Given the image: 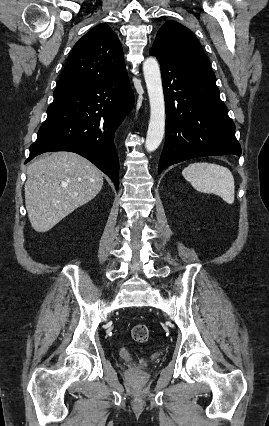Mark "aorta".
<instances>
[{
    "label": "aorta",
    "instance_id": "obj_1",
    "mask_svg": "<svg viewBox=\"0 0 269 426\" xmlns=\"http://www.w3.org/2000/svg\"><path fill=\"white\" fill-rule=\"evenodd\" d=\"M143 74L150 103V120L145 148L148 152H153L161 144L165 132V101L161 72L158 61L154 57H148L144 61Z\"/></svg>",
    "mask_w": 269,
    "mask_h": 426
}]
</instances>
